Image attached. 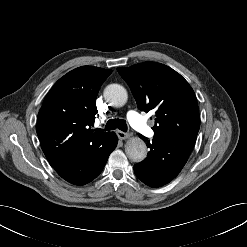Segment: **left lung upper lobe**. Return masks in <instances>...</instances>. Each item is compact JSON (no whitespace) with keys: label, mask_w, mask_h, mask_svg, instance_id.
Wrapping results in <instances>:
<instances>
[{"label":"left lung upper lobe","mask_w":247,"mask_h":247,"mask_svg":"<svg viewBox=\"0 0 247 247\" xmlns=\"http://www.w3.org/2000/svg\"><path fill=\"white\" fill-rule=\"evenodd\" d=\"M117 70L138 108L155 113L154 140L183 141L194 146L200 128L198 104L193 89L179 73L156 62Z\"/></svg>","instance_id":"obj_1"}]
</instances>
